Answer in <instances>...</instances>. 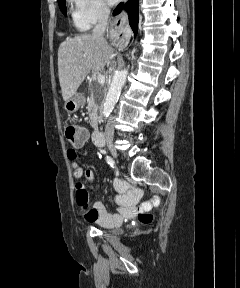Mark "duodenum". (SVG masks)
Listing matches in <instances>:
<instances>
[{
    "label": "duodenum",
    "instance_id": "1",
    "mask_svg": "<svg viewBox=\"0 0 240 288\" xmlns=\"http://www.w3.org/2000/svg\"><path fill=\"white\" fill-rule=\"evenodd\" d=\"M99 121V117L97 115H94V117L92 118V124L95 128V131L93 133V140L97 146L102 147L105 144V140L103 134L98 130Z\"/></svg>",
    "mask_w": 240,
    "mask_h": 288
}]
</instances>
